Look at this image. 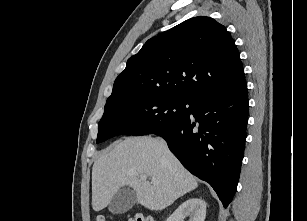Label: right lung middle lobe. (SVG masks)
Here are the masks:
<instances>
[{
    "label": "right lung middle lobe",
    "mask_w": 307,
    "mask_h": 221,
    "mask_svg": "<svg viewBox=\"0 0 307 221\" xmlns=\"http://www.w3.org/2000/svg\"><path fill=\"white\" fill-rule=\"evenodd\" d=\"M192 104L189 99L162 93L133 95L108 103L98 124L96 143L121 134L140 136L173 126L189 116Z\"/></svg>",
    "instance_id": "right-lung-middle-lobe-1"
}]
</instances>
